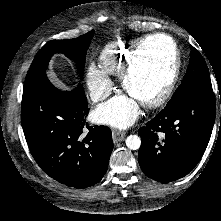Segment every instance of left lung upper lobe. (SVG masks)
<instances>
[{"label":"left lung upper lobe","mask_w":221,"mask_h":221,"mask_svg":"<svg viewBox=\"0 0 221 221\" xmlns=\"http://www.w3.org/2000/svg\"><path fill=\"white\" fill-rule=\"evenodd\" d=\"M190 60L187 72L182 83L177 88L167 105L176 102L183 95L193 89L212 90L211 80L207 65L200 52L193 46H190Z\"/></svg>","instance_id":"obj_1"}]
</instances>
